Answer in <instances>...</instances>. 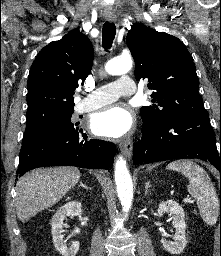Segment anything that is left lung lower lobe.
Returning a JSON list of instances; mask_svg holds the SVG:
<instances>
[{"label": "left lung lower lobe", "instance_id": "1", "mask_svg": "<svg viewBox=\"0 0 221 256\" xmlns=\"http://www.w3.org/2000/svg\"><path fill=\"white\" fill-rule=\"evenodd\" d=\"M180 158L208 161L221 174V149L217 150L208 114L175 115L161 124L144 122L134 151V164Z\"/></svg>", "mask_w": 221, "mask_h": 256}]
</instances>
